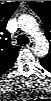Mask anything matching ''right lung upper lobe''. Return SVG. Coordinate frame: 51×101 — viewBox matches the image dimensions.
I'll use <instances>...</instances> for the list:
<instances>
[{
  "label": "right lung upper lobe",
  "mask_w": 51,
  "mask_h": 101,
  "mask_svg": "<svg viewBox=\"0 0 51 101\" xmlns=\"http://www.w3.org/2000/svg\"><path fill=\"white\" fill-rule=\"evenodd\" d=\"M18 6V2L0 5V75L12 67L20 50V46L11 44L10 33L6 30L8 20Z\"/></svg>",
  "instance_id": "right-lung-upper-lobe-1"
}]
</instances>
